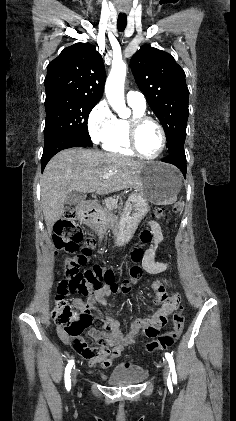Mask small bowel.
Segmentation results:
<instances>
[{
  "instance_id": "small-bowel-1",
  "label": "small bowel",
  "mask_w": 236,
  "mask_h": 421,
  "mask_svg": "<svg viewBox=\"0 0 236 421\" xmlns=\"http://www.w3.org/2000/svg\"><path fill=\"white\" fill-rule=\"evenodd\" d=\"M148 225H149V227H150V229L153 233L154 243H153V247L150 248L146 253V256L144 258V266L146 267V269H148L150 271H153V270L156 269V266L154 264V249L162 240V231H161L160 225L155 221H149ZM151 287H152V290L154 291V293L159 298H162V299L165 298V296H166L165 295V289H164V286L162 284L155 282V283L152 284ZM109 294H110V291H109L108 288H103L101 290L95 291L88 297L86 305H88L90 308H92L96 305H100L103 308H107L108 302L106 301L105 297ZM76 304L77 305H83V303L80 302V301H76ZM170 306L174 307L175 302L173 301ZM170 311H171V308L170 309L169 308L163 309V311L160 315L166 316L168 313H170ZM159 319L161 320L162 317L160 316L156 319V323H155L156 326L157 325L159 326L161 324V323H157V321ZM99 322H100V325L103 326V327L113 325V326L118 328L117 321L113 320L109 316H106V320L102 319ZM141 325L147 326V325H149V321L148 322H143V321L135 322L133 324V329H135L136 327H139ZM58 334L64 342L69 343V339L63 331L59 330ZM89 335L97 340L98 344L100 345V348H102L103 342L106 343V341L102 338L101 332L98 331V330L91 329L89 331ZM120 353H121V348L116 347L112 350L111 353H109L106 350V351H101L97 355H93V356H90V357H84V358L88 359L90 361L91 365H95V364L98 363V364H100L101 367L107 368L111 365L112 359L119 356Z\"/></svg>"
}]
</instances>
